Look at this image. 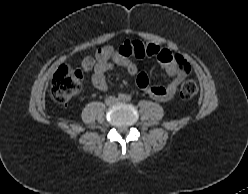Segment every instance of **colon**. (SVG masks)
Listing matches in <instances>:
<instances>
[{"label":"colon","mask_w":248,"mask_h":194,"mask_svg":"<svg viewBox=\"0 0 248 194\" xmlns=\"http://www.w3.org/2000/svg\"><path fill=\"white\" fill-rule=\"evenodd\" d=\"M150 53L149 43L135 42L134 55L144 57ZM82 86L80 72L69 66L61 65L51 81V96L59 103L67 102ZM197 92V84L193 79H186L180 86V96L184 100L191 99Z\"/></svg>","instance_id":"5ec220e1"}]
</instances>
